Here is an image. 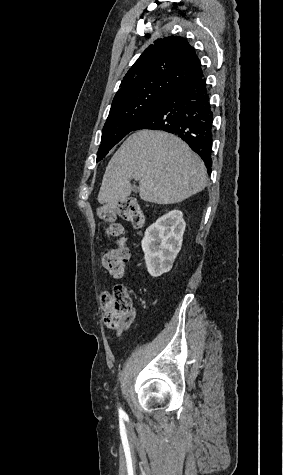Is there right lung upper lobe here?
I'll return each instance as SVG.
<instances>
[{
  "mask_svg": "<svg viewBox=\"0 0 283 475\" xmlns=\"http://www.w3.org/2000/svg\"><path fill=\"white\" fill-rule=\"evenodd\" d=\"M200 61L186 39H158L150 45L123 78L113 103L155 90H173L203 77Z\"/></svg>",
  "mask_w": 283,
  "mask_h": 475,
  "instance_id": "obj_1",
  "label": "right lung upper lobe"
}]
</instances>
